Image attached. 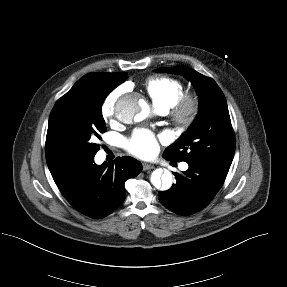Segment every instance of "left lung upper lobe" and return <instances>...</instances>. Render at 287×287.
Masks as SVG:
<instances>
[{"label":"left lung upper lobe","instance_id":"obj_1","mask_svg":"<svg viewBox=\"0 0 287 287\" xmlns=\"http://www.w3.org/2000/svg\"><path fill=\"white\" fill-rule=\"evenodd\" d=\"M156 72L178 73L189 79L199 95V113L190 128L163 157L202 164L225 176L235 152V137L225 96L216 82L186 66L161 67Z\"/></svg>","mask_w":287,"mask_h":287}]
</instances>
